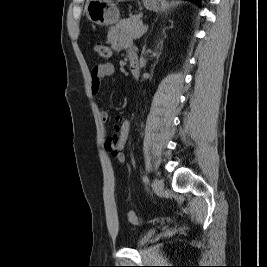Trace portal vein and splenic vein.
Listing matches in <instances>:
<instances>
[{"mask_svg": "<svg viewBox=\"0 0 267 267\" xmlns=\"http://www.w3.org/2000/svg\"><path fill=\"white\" fill-rule=\"evenodd\" d=\"M147 29H148V25H144L143 27H142V35H143V33L145 32V31H147Z\"/></svg>", "mask_w": 267, "mask_h": 267, "instance_id": "portal-vein-and-splenic-vein-1", "label": "portal vein and splenic vein"}]
</instances>
